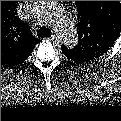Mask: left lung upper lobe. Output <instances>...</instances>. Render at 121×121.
Returning <instances> with one entry per match:
<instances>
[{
	"mask_svg": "<svg viewBox=\"0 0 121 121\" xmlns=\"http://www.w3.org/2000/svg\"><path fill=\"white\" fill-rule=\"evenodd\" d=\"M78 6L79 44L76 50L85 49L97 54L106 52L121 30V11L118 5L108 1H78ZM62 49L68 51L64 45Z\"/></svg>",
	"mask_w": 121,
	"mask_h": 121,
	"instance_id": "1",
	"label": "left lung upper lobe"
}]
</instances>
